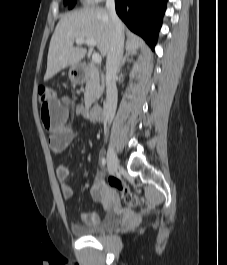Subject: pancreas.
Instances as JSON below:
<instances>
[{"mask_svg":"<svg viewBox=\"0 0 227 265\" xmlns=\"http://www.w3.org/2000/svg\"><path fill=\"white\" fill-rule=\"evenodd\" d=\"M104 90V79L100 76L95 65H91L88 71L84 98L85 102L91 104L98 98Z\"/></svg>","mask_w":227,"mask_h":265,"instance_id":"pancreas-1","label":"pancreas"}]
</instances>
